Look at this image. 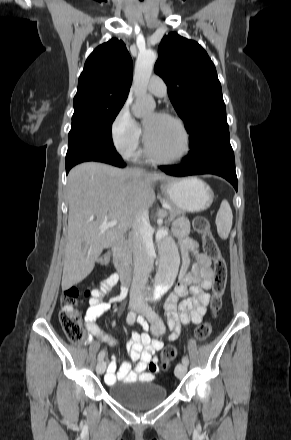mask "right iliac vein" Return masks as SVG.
I'll return each instance as SVG.
<instances>
[{
  "mask_svg": "<svg viewBox=\"0 0 291 440\" xmlns=\"http://www.w3.org/2000/svg\"><path fill=\"white\" fill-rule=\"evenodd\" d=\"M129 308H130L131 310H138V309H139V304H138V302L135 301V300H131V301L129 302ZM105 370H106V362L103 361V360L99 361V363H98L97 366H96V371H97V373H98V374H103V373L105 372Z\"/></svg>",
  "mask_w": 291,
  "mask_h": 440,
  "instance_id": "right-iliac-vein-1",
  "label": "right iliac vein"
}]
</instances>
